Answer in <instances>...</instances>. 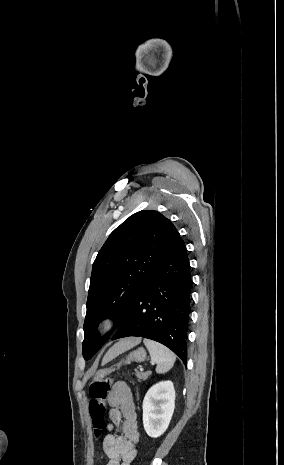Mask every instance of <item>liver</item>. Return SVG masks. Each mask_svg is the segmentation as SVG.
I'll return each mask as SVG.
<instances>
[{
    "instance_id": "1",
    "label": "liver",
    "mask_w": 284,
    "mask_h": 465,
    "mask_svg": "<svg viewBox=\"0 0 284 465\" xmlns=\"http://www.w3.org/2000/svg\"><path fill=\"white\" fill-rule=\"evenodd\" d=\"M140 341L141 337H127V339H121L119 343H115V345L109 349L108 353H106L102 365H106V363H109V361H112V359H115V357H118L121 353H125V351H129V349H132L135 345H139Z\"/></svg>"
}]
</instances>
